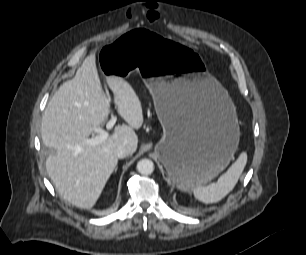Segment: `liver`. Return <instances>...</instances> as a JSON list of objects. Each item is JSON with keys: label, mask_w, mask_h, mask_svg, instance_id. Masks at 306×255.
<instances>
[{"label": "liver", "mask_w": 306, "mask_h": 255, "mask_svg": "<svg viewBox=\"0 0 306 255\" xmlns=\"http://www.w3.org/2000/svg\"><path fill=\"white\" fill-rule=\"evenodd\" d=\"M114 104L128 125L116 126L101 144L86 139L102 127L111 111L97 72L95 55H89L73 79L64 82L49 101L41 122L43 144L53 150L46 170L60 196L79 208L95 205L118 163L116 148L137 149L134 129L143 124L141 101L132 86L119 76H106Z\"/></svg>", "instance_id": "obj_1"}]
</instances>
